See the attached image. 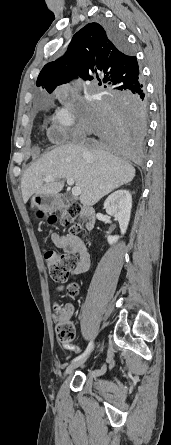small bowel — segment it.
<instances>
[{"mask_svg":"<svg viewBox=\"0 0 171 445\" xmlns=\"http://www.w3.org/2000/svg\"><path fill=\"white\" fill-rule=\"evenodd\" d=\"M51 240L57 248L78 258L76 265L71 269L72 276L75 277L89 270L91 266L90 253L81 238L74 234L60 235L57 232H52ZM53 319L56 321L55 314H53ZM65 348L74 352L79 351V348L73 345H67Z\"/></svg>","mask_w":171,"mask_h":445,"instance_id":"c3829d8e","label":"small bowel"}]
</instances>
